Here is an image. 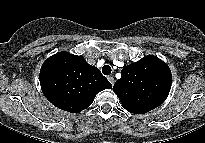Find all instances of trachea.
Wrapping results in <instances>:
<instances>
[{
  "instance_id": "1",
  "label": "trachea",
  "mask_w": 205,
  "mask_h": 143,
  "mask_svg": "<svg viewBox=\"0 0 205 143\" xmlns=\"http://www.w3.org/2000/svg\"><path fill=\"white\" fill-rule=\"evenodd\" d=\"M111 67L109 65H104L102 68V72L104 75H109L111 73Z\"/></svg>"
}]
</instances>
